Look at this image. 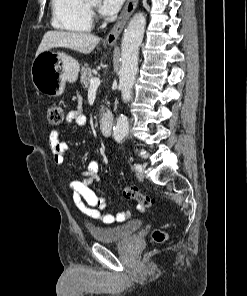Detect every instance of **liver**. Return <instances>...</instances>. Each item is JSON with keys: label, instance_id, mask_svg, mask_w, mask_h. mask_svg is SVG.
<instances>
[{"label": "liver", "instance_id": "6515ba94", "mask_svg": "<svg viewBox=\"0 0 247 296\" xmlns=\"http://www.w3.org/2000/svg\"><path fill=\"white\" fill-rule=\"evenodd\" d=\"M100 38L90 33L48 31L38 47L36 56L52 48H67L83 54L91 53Z\"/></svg>", "mask_w": 247, "mask_h": 296}]
</instances>
